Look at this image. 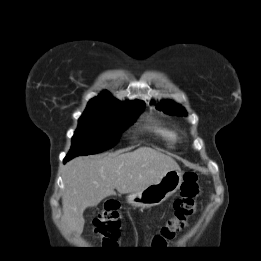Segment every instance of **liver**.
Returning a JSON list of instances; mask_svg holds the SVG:
<instances>
[{
  "label": "liver",
  "instance_id": "6515ba94",
  "mask_svg": "<svg viewBox=\"0 0 261 261\" xmlns=\"http://www.w3.org/2000/svg\"><path fill=\"white\" fill-rule=\"evenodd\" d=\"M175 169H179V165L173 158L150 147L77 157L64 168L62 219L71 231L80 235L86 208L114 195L115 189L121 194L140 192Z\"/></svg>",
  "mask_w": 261,
  "mask_h": 261
}]
</instances>
